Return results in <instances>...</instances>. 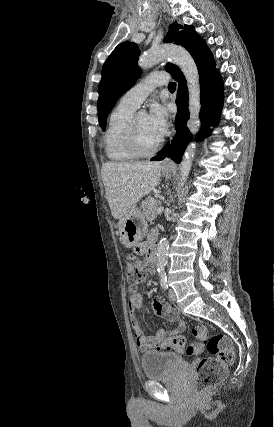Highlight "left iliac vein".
Returning a JSON list of instances; mask_svg holds the SVG:
<instances>
[{"instance_id": "1", "label": "left iliac vein", "mask_w": 274, "mask_h": 427, "mask_svg": "<svg viewBox=\"0 0 274 427\" xmlns=\"http://www.w3.org/2000/svg\"><path fill=\"white\" fill-rule=\"evenodd\" d=\"M169 298H170L171 301H176L177 300L176 294H175V292H174L173 289L169 290Z\"/></svg>"}]
</instances>
